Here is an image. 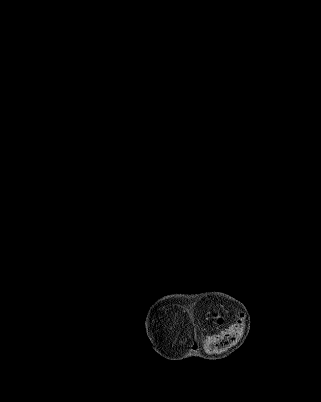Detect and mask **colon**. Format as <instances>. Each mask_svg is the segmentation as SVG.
Wrapping results in <instances>:
<instances>
[{
  "label": "colon",
  "instance_id": "colon-1",
  "mask_svg": "<svg viewBox=\"0 0 321 402\" xmlns=\"http://www.w3.org/2000/svg\"><path fill=\"white\" fill-rule=\"evenodd\" d=\"M245 326V319L240 318L234 324L228 326L220 333L215 334L208 338L206 342V349L209 352H219L232 346L243 333Z\"/></svg>",
  "mask_w": 321,
  "mask_h": 402
}]
</instances>
